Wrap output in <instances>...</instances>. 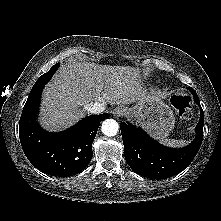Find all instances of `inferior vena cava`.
Segmentation results:
<instances>
[{"instance_id": "obj_1", "label": "inferior vena cava", "mask_w": 221, "mask_h": 221, "mask_svg": "<svg viewBox=\"0 0 221 221\" xmlns=\"http://www.w3.org/2000/svg\"><path fill=\"white\" fill-rule=\"evenodd\" d=\"M85 109L92 114H100L105 110V104L95 102L87 105Z\"/></svg>"}]
</instances>
